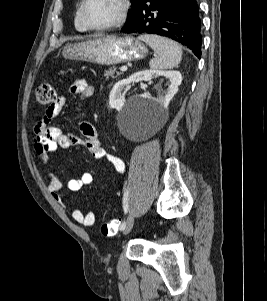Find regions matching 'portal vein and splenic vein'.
Here are the masks:
<instances>
[{"label": "portal vein and splenic vein", "mask_w": 267, "mask_h": 301, "mask_svg": "<svg viewBox=\"0 0 267 301\" xmlns=\"http://www.w3.org/2000/svg\"><path fill=\"white\" fill-rule=\"evenodd\" d=\"M120 70H121L122 72H126V71H127V67H126V66H122V67L120 68Z\"/></svg>", "instance_id": "1"}]
</instances>
